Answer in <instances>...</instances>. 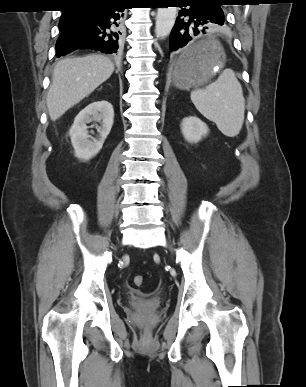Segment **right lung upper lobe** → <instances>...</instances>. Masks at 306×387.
<instances>
[{
    "label": "right lung upper lobe",
    "instance_id": "cb5924a9",
    "mask_svg": "<svg viewBox=\"0 0 306 387\" xmlns=\"http://www.w3.org/2000/svg\"><path fill=\"white\" fill-rule=\"evenodd\" d=\"M67 7L78 8L87 5H102L112 0H65ZM73 9H67L64 14L72 12Z\"/></svg>",
    "mask_w": 306,
    "mask_h": 387
}]
</instances>
